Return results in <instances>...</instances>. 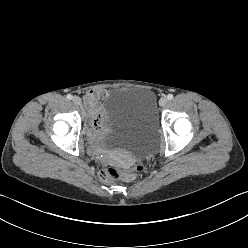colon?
<instances>
[{"label": "colon", "instance_id": "colon-1", "mask_svg": "<svg viewBox=\"0 0 248 248\" xmlns=\"http://www.w3.org/2000/svg\"><path fill=\"white\" fill-rule=\"evenodd\" d=\"M143 165L137 163L128 170H121L115 167L104 168L100 171V178L105 182L132 181L143 172Z\"/></svg>", "mask_w": 248, "mask_h": 248}]
</instances>
